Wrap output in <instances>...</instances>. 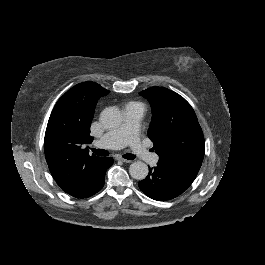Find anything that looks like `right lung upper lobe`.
<instances>
[{"instance_id": "right-lung-upper-lobe-1", "label": "right lung upper lobe", "mask_w": 265, "mask_h": 265, "mask_svg": "<svg viewBox=\"0 0 265 265\" xmlns=\"http://www.w3.org/2000/svg\"><path fill=\"white\" fill-rule=\"evenodd\" d=\"M108 90L94 82L80 83L68 90L56 103L49 118L44 139L49 170L66 193L88 187L104 169L103 161L89 155L85 143H91L90 125L95 106Z\"/></svg>"}]
</instances>
